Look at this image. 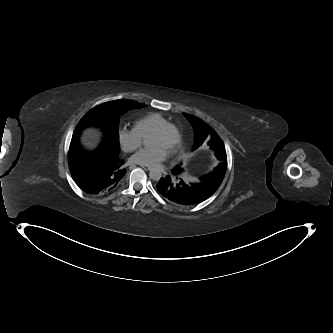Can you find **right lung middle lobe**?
I'll return each instance as SVG.
<instances>
[{"mask_svg": "<svg viewBox=\"0 0 333 333\" xmlns=\"http://www.w3.org/2000/svg\"><path fill=\"white\" fill-rule=\"evenodd\" d=\"M144 106L142 103L128 99L114 100L98 105L80 120L73 133V138L78 139L84 127L98 125L107 135V141L104 145L114 153H118V126L120 117L131 109Z\"/></svg>", "mask_w": 333, "mask_h": 333, "instance_id": "dd1d6c3e", "label": "right lung middle lobe"}]
</instances>
